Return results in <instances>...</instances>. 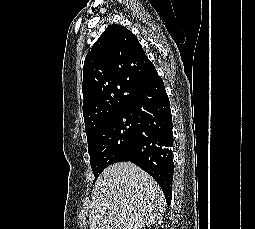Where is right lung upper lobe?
I'll return each mask as SVG.
<instances>
[{"mask_svg": "<svg viewBox=\"0 0 255 229\" xmlns=\"http://www.w3.org/2000/svg\"><path fill=\"white\" fill-rule=\"evenodd\" d=\"M154 72L137 37L124 26L109 25L84 61L82 93L87 138L124 110L143 80Z\"/></svg>", "mask_w": 255, "mask_h": 229, "instance_id": "right-lung-upper-lobe-1", "label": "right lung upper lobe"}]
</instances>
